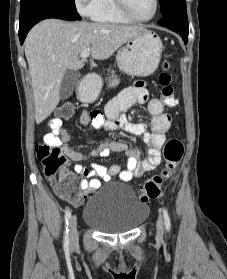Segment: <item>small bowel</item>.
Listing matches in <instances>:
<instances>
[{
  "label": "small bowel",
  "mask_w": 227,
  "mask_h": 279,
  "mask_svg": "<svg viewBox=\"0 0 227 279\" xmlns=\"http://www.w3.org/2000/svg\"><path fill=\"white\" fill-rule=\"evenodd\" d=\"M135 104H145L148 112L153 116L150 128L146 123L133 122L123 115L125 111ZM83 126H106L107 128L119 127L125 132L141 135L147 146V159H140L136 149H129L120 141L104 140L98 147L88 153L73 150L69 147L70 135L64 128L55 125L52 120L50 128L58 130L61 134L60 143L64 154L75 164L71 169H64L61 178L78 176L81 178V187L85 191L97 189L101 181L110 182L116 177L129 181L142 176L145 172L154 170L161 162L160 148L165 142V134L169 130L172 118L163 114V102L159 99H150L149 92L144 82L123 89L117 96L108 102L104 113L100 111H83L79 117ZM95 144V140L90 141ZM112 151H125L127 155L126 167L122 169L120 164L104 167L95 162L97 158H106ZM83 163H88L85 166Z\"/></svg>",
  "instance_id": "c3829d8e"
}]
</instances>
